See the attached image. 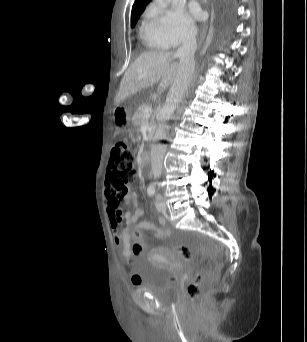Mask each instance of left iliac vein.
Returning a JSON list of instances; mask_svg holds the SVG:
<instances>
[{
	"label": "left iliac vein",
	"mask_w": 307,
	"mask_h": 342,
	"mask_svg": "<svg viewBox=\"0 0 307 342\" xmlns=\"http://www.w3.org/2000/svg\"><path fill=\"white\" fill-rule=\"evenodd\" d=\"M156 208L159 212H165L166 211V204L164 200H158L156 203Z\"/></svg>",
	"instance_id": "obj_1"
}]
</instances>
